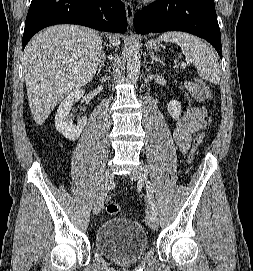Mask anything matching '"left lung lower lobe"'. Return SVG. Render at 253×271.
Returning a JSON list of instances; mask_svg holds the SVG:
<instances>
[{"label": "left lung lower lobe", "instance_id": "0a47b994", "mask_svg": "<svg viewBox=\"0 0 253 271\" xmlns=\"http://www.w3.org/2000/svg\"><path fill=\"white\" fill-rule=\"evenodd\" d=\"M138 34L184 31L207 40L222 58L221 35L214 0H160L137 11Z\"/></svg>", "mask_w": 253, "mask_h": 271}]
</instances>
